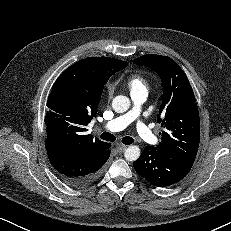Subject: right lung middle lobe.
Wrapping results in <instances>:
<instances>
[{
	"instance_id": "right-lung-middle-lobe-1",
	"label": "right lung middle lobe",
	"mask_w": 231,
	"mask_h": 231,
	"mask_svg": "<svg viewBox=\"0 0 231 231\" xmlns=\"http://www.w3.org/2000/svg\"><path fill=\"white\" fill-rule=\"evenodd\" d=\"M126 66L127 63L123 65V67ZM81 92L82 89L76 75L65 70L54 83L49 98L56 101H68L79 97Z\"/></svg>"
}]
</instances>
